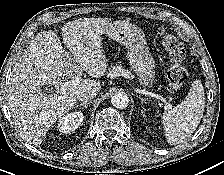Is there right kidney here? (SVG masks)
I'll return each instance as SVG.
<instances>
[{
  "label": "right kidney",
  "mask_w": 224,
  "mask_h": 175,
  "mask_svg": "<svg viewBox=\"0 0 224 175\" xmlns=\"http://www.w3.org/2000/svg\"><path fill=\"white\" fill-rule=\"evenodd\" d=\"M83 119L82 112L76 111L68 113L59 119L57 128L63 134H71L79 127Z\"/></svg>",
  "instance_id": "ca27d5eb"
}]
</instances>
